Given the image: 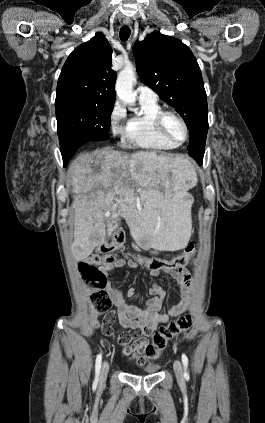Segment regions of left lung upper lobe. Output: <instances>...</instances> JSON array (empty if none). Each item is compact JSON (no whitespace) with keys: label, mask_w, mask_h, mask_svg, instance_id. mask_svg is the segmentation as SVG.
Instances as JSON below:
<instances>
[{"label":"left lung upper lobe","mask_w":265,"mask_h":423,"mask_svg":"<svg viewBox=\"0 0 265 423\" xmlns=\"http://www.w3.org/2000/svg\"><path fill=\"white\" fill-rule=\"evenodd\" d=\"M141 81L174 107L190 130L189 154L202 163L208 132V107L199 65L180 40L158 31L133 47Z\"/></svg>","instance_id":"5c2ea615"}]
</instances>
